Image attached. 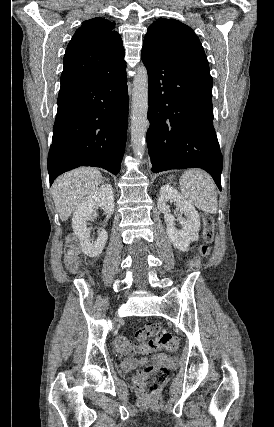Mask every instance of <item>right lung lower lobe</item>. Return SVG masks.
Returning a JSON list of instances; mask_svg holds the SVG:
<instances>
[{
    "label": "right lung lower lobe",
    "instance_id": "obj_1",
    "mask_svg": "<svg viewBox=\"0 0 274 427\" xmlns=\"http://www.w3.org/2000/svg\"><path fill=\"white\" fill-rule=\"evenodd\" d=\"M128 124L126 63L101 78L59 93L48 155L50 185L79 166L120 171Z\"/></svg>",
    "mask_w": 274,
    "mask_h": 427
}]
</instances>
